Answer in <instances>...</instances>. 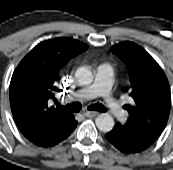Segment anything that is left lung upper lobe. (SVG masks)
<instances>
[{
	"label": "left lung upper lobe",
	"mask_w": 173,
	"mask_h": 170,
	"mask_svg": "<svg viewBox=\"0 0 173 170\" xmlns=\"http://www.w3.org/2000/svg\"><path fill=\"white\" fill-rule=\"evenodd\" d=\"M127 66L132 103L124 108L129 112L125 125L130 133L143 142L153 144L166 127L171 105L167 77L158 63L139 45L123 42L111 47Z\"/></svg>",
	"instance_id": "left-lung-upper-lobe-1"
}]
</instances>
